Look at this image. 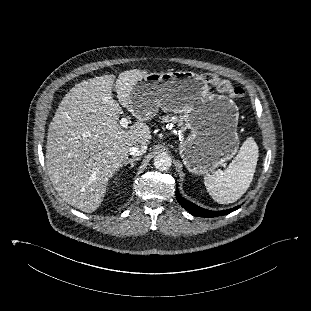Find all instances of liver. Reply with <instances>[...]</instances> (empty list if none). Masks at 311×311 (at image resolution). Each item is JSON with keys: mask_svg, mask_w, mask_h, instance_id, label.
Wrapping results in <instances>:
<instances>
[{"mask_svg": "<svg viewBox=\"0 0 311 311\" xmlns=\"http://www.w3.org/2000/svg\"><path fill=\"white\" fill-rule=\"evenodd\" d=\"M148 72L132 69L84 80L62 99L49 124L46 145L47 173L55 190L69 205L95 211L103 201L109 179L123 166L129 149L149 144L146 119L135 113L130 94ZM115 86L122 107L136 122L124 130L123 110L112 96Z\"/></svg>", "mask_w": 311, "mask_h": 311, "instance_id": "obj_1", "label": "liver"}]
</instances>
